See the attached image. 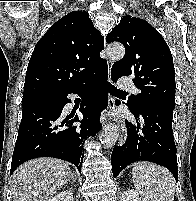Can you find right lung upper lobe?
I'll return each instance as SVG.
<instances>
[{"label": "right lung upper lobe", "mask_w": 196, "mask_h": 201, "mask_svg": "<svg viewBox=\"0 0 196 201\" xmlns=\"http://www.w3.org/2000/svg\"><path fill=\"white\" fill-rule=\"evenodd\" d=\"M104 38L86 11H73L54 23L30 58L23 97L56 95L84 83L101 68Z\"/></svg>", "instance_id": "cb5924a9"}]
</instances>
